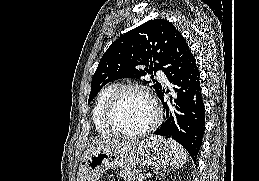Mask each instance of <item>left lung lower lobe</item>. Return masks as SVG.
Masks as SVG:
<instances>
[{"mask_svg": "<svg viewBox=\"0 0 259 181\" xmlns=\"http://www.w3.org/2000/svg\"><path fill=\"white\" fill-rule=\"evenodd\" d=\"M164 72L174 85L177 98H170L167 104L163 99L165 88L158 93L166 118L154 134L176 140L196 164L205 130V109L196 61L182 35L173 43Z\"/></svg>", "mask_w": 259, "mask_h": 181, "instance_id": "left-lung-lower-lobe-1", "label": "left lung lower lobe"}]
</instances>
